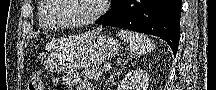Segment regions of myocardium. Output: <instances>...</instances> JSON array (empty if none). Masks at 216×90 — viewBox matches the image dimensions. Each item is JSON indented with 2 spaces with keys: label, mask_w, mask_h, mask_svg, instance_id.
I'll list each match as a JSON object with an SVG mask.
<instances>
[{
  "label": "myocardium",
  "mask_w": 216,
  "mask_h": 90,
  "mask_svg": "<svg viewBox=\"0 0 216 90\" xmlns=\"http://www.w3.org/2000/svg\"><path fill=\"white\" fill-rule=\"evenodd\" d=\"M49 1L50 3H55V8H53V11H49V13L46 15L47 22L50 25H52L54 28L61 29V30H73L93 23L104 14V12L106 11V7L103 3L108 2V0H93L96 1V3H99L96 12L91 16L87 17L86 19L71 25V24H63L60 21L54 19L57 18V15H61V12H63L64 9H66L65 4L67 3L62 2V0H49Z\"/></svg>",
  "instance_id": "obj_1"
}]
</instances>
